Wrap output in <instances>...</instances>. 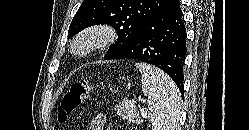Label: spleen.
<instances>
[{"label": "spleen", "instance_id": "obj_1", "mask_svg": "<svg viewBox=\"0 0 249 130\" xmlns=\"http://www.w3.org/2000/svg\"><path fill=\"white\" fill-rule=\"evenodd\" d=\"M142 92L147 97L152 130H175L181 114V95L173 80L161 69L137 62Z\"/></svg>", "mask_w": 249, "mask_h": 130}]
</instances>
